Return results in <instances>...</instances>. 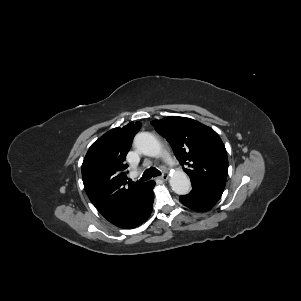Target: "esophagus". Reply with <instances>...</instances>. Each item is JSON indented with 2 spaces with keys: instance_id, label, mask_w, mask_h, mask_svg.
Segmentation results:
<instances>
[{
  "instance_id": "obj_1",
  "label": "esophagus",
  "mask_w": 301,
  "mask_h": 301,
  "mask_svg": "<svg viewBox=\"0 0 301 301\" xmlns=\"http://www.w3.org/2000/svg\"><path fill=\"white\" fill-rule=\"evenodd\" d=\"M168 175H166V174H163L162 176H160V179L162 180V181H167L168 180Z\"/></svg>"
}]
</instances>
